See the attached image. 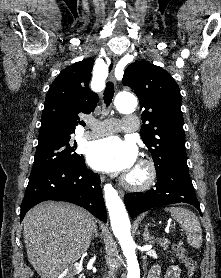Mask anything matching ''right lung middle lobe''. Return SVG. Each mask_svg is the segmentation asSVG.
<instances>
[{
  "instance_id": "dd1d6c3e",
  "label": "right lung middle lobe",
  "mask_w": 221,
  "mask_h": 278,
  "mask_svg": "<svg viewBox=\"0 0 221 278\" xmlns=\"http://www.w3.org/2000/svg\"><path fill=\"white\" fill-rule=\"evenodd\" d=\"M76 142L71 137L39 141L30 177L56 166L79 164L83 155L75 153Z\"/></svg>"
}]
</instances>
